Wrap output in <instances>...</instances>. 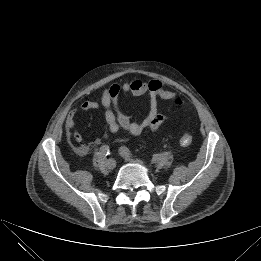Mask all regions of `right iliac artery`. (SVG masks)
<instances>
[{
  "label": "right iliac artery",
  "instance_id": "obj_1",
  "mask_svg": "<svg viewBox=\"0 0 261 261\" xmlns=\"http://www.w3.org/2000/svg\"><path fill=\"white\" fill-rule=\"evenodd\" d=\"M100 154L102 156H108L110 154V148L108 145H103L101 148H100Z\"/></svg>",
  "mask_w": 261,
  "mask_h": 261
}]
</instances>
